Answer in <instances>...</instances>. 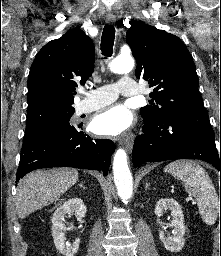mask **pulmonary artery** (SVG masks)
<instances>
[{"instance_id":"pulmonary-artery-1","label":"pulmonary artery","mask_w":221,"mask_h":256,"mask_svg":"<svg viewBox=\"0 0 221 256\" xmlns=\"http://www.w3.org/2000/svg\"><path fill=\"white\" fill-rule=\"evenodd\" d=\"M137 83L129 78L123 77L115 84H107L85 94L76 106V114H82L97 110L114 102L119 94L123 96H135L139 94Z\"/></svg>"}]
</instances>
